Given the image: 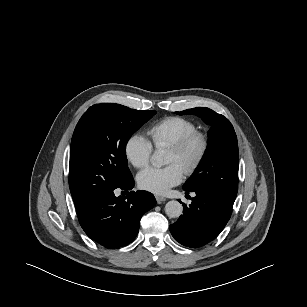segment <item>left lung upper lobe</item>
Segmentation results:
<instances>
[{
    "mask_svg": "<svg viewBox=\"0 0 307 307\" xmlns=\"http://www.w3.org/2000/svg\"><path fill=\"white\" fill-rule=\"evenodd\" d=\"M176 113L195 114L211 125L205 155L183 189L209 191L233 206L238 191L239 153L232 124L209 108L197 107Z\"/></svg>",
    "mask_w": 307,
    "mask_h": 307,
    "instance_id": "5c2ea615",
    "label": "left lung upper lobe"
}]
</instances>
